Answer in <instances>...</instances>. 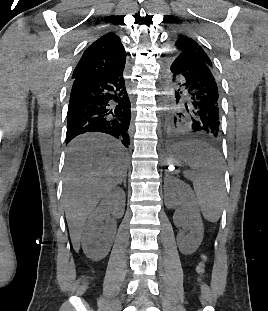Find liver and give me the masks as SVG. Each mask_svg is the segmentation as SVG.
Returning <instances> with one entry per match:
<instances>
[{
	"label": "liver",
	"instance_id": "6515ba94",
	"mask_svg": "<svg viewBox=\"0 0 268 311\" xmlns=\"http://www.w3.org/2000/svg\"><path fill=\"white\" fill-rule=\"evenodd\" d=\"M127 174V159L118 142L99 135L76 138L68 148L64 175V209L76 252L87 217L101 198Z\"/></svg>",
	"mask_w": 268,
	"mask_h": 311
}]
</instances>
